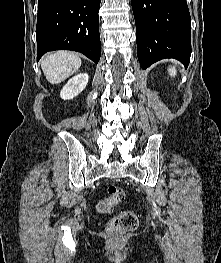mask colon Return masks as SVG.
<instances>
[{
  "label": "colon",
  "instance_id": "colon-1",
  "mask_svg": "<svg viewBox=\"0 0 221 263\" xmlns=\"http://www.w3.org/2000/svg\"><path fill=\"white\" fill-rule=\"evenodd\" d=\"M124 198V190L112 184L108 187V196L99 201L97 209L100 213H108L116 204L123 201ZM137 226V215L131 210H124L109 221L107 229L113 235H123L135 230Z\"/></svg>",
  "mask_w": 221,
  "mask_h": 263
}]
</instances>
